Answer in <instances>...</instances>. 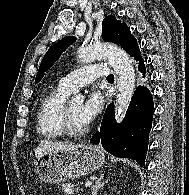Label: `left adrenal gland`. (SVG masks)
Returning a JSON list of instances; mask_svg holds the SVG:
<instances>
[{
	"label": "left adrenal gland",
	"mask_w": 189,
	"mask_h": 195,
	"mask_svg": "<svg viewBox=\"0 0 189 195\" xmlns=\"http://www.w3.org/2000/svg\"><path fill=\"white\" fill-rule=\"evenodd\" d=\"M104 178V174H101L100 177L95 181L92 186L91 195H96L98 190L104 186V184L108 181H102Z\"/></svg>",
	"instance_id": "1"
}]
</instances>
